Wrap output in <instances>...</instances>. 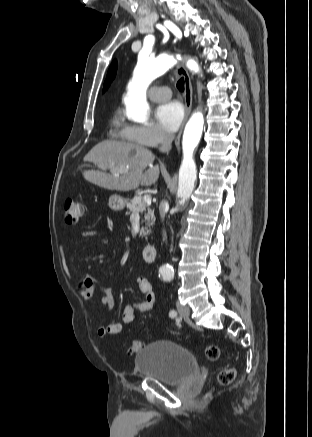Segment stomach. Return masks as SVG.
I'll return each mask as SVG.
<instances>
[{
	"label": "stomach",
	"instance_id": "0dacf381",
	"mask_svg": "<svg viewBox=\"0 0 312 437\" xmlns=\"http://www.w3.org/2000/svg\"><path fill=\"white\" fill-rule=\"evenodd\" d=\"M127 204V200L120 195H111L108 206L113 211H122Z\"/></svg>",
	"mask_w": 312,
	"mask_h": 437
}]
</instances>
